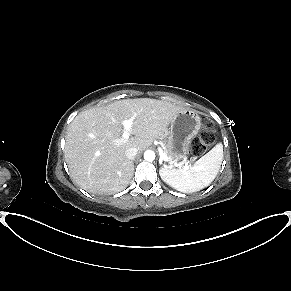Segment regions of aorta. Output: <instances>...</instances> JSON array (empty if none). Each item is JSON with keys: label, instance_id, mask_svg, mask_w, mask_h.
Instances as JSON below:
<instances>
[{"label": "aorta", "instance_id": "762f6f07", "mask_svg": "<svg viewBox=\"0 0 291 291\" xmlns=\"http://www.w3.org/2000/svg\"><path fill=\"white\" fill-rule=\"evenodd\" d=\"M144 159H145L146 161H149V162L154 161V160H155V152L152 151V150H146V151L144 152Z\"/></svg>", "mask_w": 291, "mask_h": 291}]
</instances>
